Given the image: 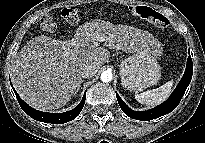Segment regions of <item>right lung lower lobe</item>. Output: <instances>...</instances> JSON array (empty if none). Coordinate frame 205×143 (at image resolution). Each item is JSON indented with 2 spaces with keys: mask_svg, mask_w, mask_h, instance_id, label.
<instances>
[{
  "mask_svg": "<svg viewBox=\"0 0 205 143\" xmlns=\"http://www.w3.org/2000/svg\"><path fill=\"white\" fill-rule=\"evenodd\" d=\"M12 88H13V86H12ZM13 90H14V88H13ZM14 93L17 97V100H18L21 108L23 109V111L26 114H28L31 118H33L37 121L51 123V124H63V123H66V122H69V121L75 119L79 115L81 110L83 109L84 103L86 100V93H85L80 104L77 107H75L74 109H72L68 112H64V113H48V112H42V111L35 110L34 108H32L28 104H26L20 98V96L17 94V92L15 90H14Z\"/></svg>",
  "mask_w": 205,
  "mask_h": 143,
  "instance_id": "obj_1",
  "label": "right lung lower lobe"
}]
</instances>
